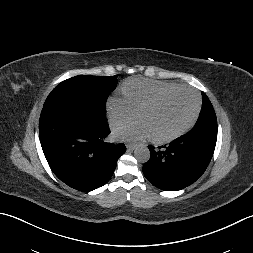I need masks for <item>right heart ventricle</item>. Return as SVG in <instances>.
Masks as SVG:
<instances>
[{
    "instance_id": "obj_1",
    "label": "right heart ventricle",
    "mask_w": 253,
    "mask_h": 253,
    "mask_svg": "<svg viewBox=\"0 0 253 253\" xmlns=\"http://www.w3.org/2000/svg\"><path fill=\"white\" fill-rule=\"evenodd\" d=\"M178 86L176 83L132 79L122 87V94L128 104L137 111L142 105L159 93Z\"/></svg>"
}]
</instances>
